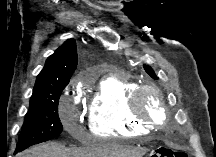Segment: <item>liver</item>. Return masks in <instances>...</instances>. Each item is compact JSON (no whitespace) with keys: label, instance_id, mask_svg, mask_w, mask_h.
I'll return each instance as SVG.
<instances>
[{"label":"liver","instance_id":"1","mask_svg":"<svg viewBox=\"0 0 216 157\" xmlns=\"http://www.w3.org/2000/svg\"><path fill=\"white\" fill-rule=\"evenodd\" d=\"M146 149L113 143H99L89 148H66L58 143H46L20 154V157H142Z\"/></svg>","mask_w":216,"mask_h":157}]
</instances>
